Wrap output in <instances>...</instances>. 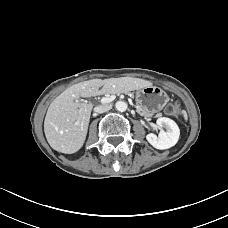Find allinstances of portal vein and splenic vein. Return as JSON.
I'll return each instance as SVG.
<instances>
[{"label":"portal vein and splenic vein","mask_w":228,"mask_h":228,"mask_svg":"<svg viewBox=\"0 0 228 228\" xmlns=\"http://www.w3.org/2000/svg\"><path fill=\"white\" fill-rule=\"evenodd\" d=\"M114 99H115V96H114V95H111V96L103 97V98L101 99V102H102V103H110V102H112ZM79 121H80V119L77 120L76 124H79Z\"/></svg>","instance_id":"portal-vein-and-splenic-vein-1"}]
</instances>
